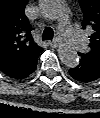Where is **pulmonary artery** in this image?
I'll list each match as a JSON object with an SVG mask.
<instances>
[{"instance_id":"obj_1","label":"pulmonary artery","mask_w":100,"mask_h":118,"mask_svg":"<svg viewBox=\"0 0 100 118\" xmlns=\"http://www.w3.org/2000/svg\"><path fill=\"white\" fill-rule=\"evenodd\" d=\"M61 36L76 50H83L86 41L80 31L75 29L69 21H61L58 25Z\"/></svg>"}]
</instances>
